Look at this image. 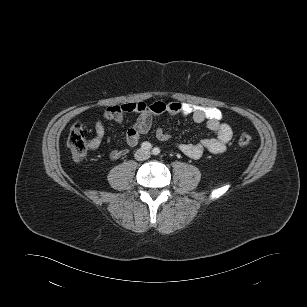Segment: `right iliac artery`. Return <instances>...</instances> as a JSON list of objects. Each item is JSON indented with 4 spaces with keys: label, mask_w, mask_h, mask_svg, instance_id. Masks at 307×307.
Masks as SVG:
<instances>
[{
    "label": "right iliac artery",
    "mask_w": 307,
    "mask_h": 307,
    "mask_svg": "<svg viewBox=\"0 0 307 307\" xmlns=\"http://www.w3.org/2000/svg\"><path fill=\"white\" fill-rule=\"evenodd\" d=\"M141 148L144 150H150L152 148V145L149 142H143L141 144Z\"/></svg>",
    "instance_id": "obj_1"
}]
</instances>
